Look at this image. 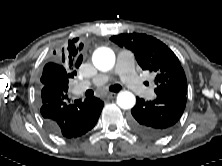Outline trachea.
I'll return each mask as SVG.
<instances>
[{"label": "trachea", "instance_id": "trachea-1", "mask_svg": "<svg viewBox=\"0 0 222 166\" xmlns=\"http://www.w3.org/2000/svg\"><path fill=\"white\" fill-rule=\"evenodd\" d=\"M121 86L116 84V85H112L109 87V90L112 92H119L121 90ZM94 94V92L92 90H87L86 92V96H92Z\"/></svg>", "mask_w": 222, "mask_h": 166}]
</instances>
